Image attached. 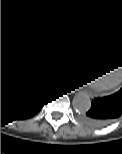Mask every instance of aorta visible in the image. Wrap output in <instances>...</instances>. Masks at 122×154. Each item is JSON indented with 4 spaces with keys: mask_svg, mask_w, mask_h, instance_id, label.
Here are the masks:
<instances>
[{
    "mask_svg": "<svg viewBox=\"0 0 122 154\" xmlns=\"http://www.w3.org/2000/svg\"><path fill=\"white\" fill-rule=\"evenodd\" d=\"M72 105L77 113L84 114L90 110L91 100L86 93L80 92L73 98Z\"/></svg>",
    "mask_w": 122,
    "mask_h": 154,
    "instance_id": "obj_1",
    "label": "aorta"
}]
</instances>
